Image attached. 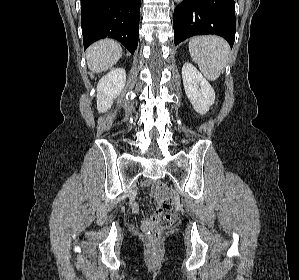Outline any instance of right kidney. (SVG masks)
<instances>
[{
    "instance_id": "ca27d5eb",
    "label": "right kidney",
    "mask_w": 299,
    "mask_h": 280,
    "mask_svg": "<svg viewBox=\"0 0 299 280\" xmlns=\"http://www.w3.org/2000/svg\"><path fill=\"white\" fill-rule=\"evenodd\" d=\"M126 82V72L123 68L111 70L103 76L97 85V109L107 111L113 100L120 95Z\"/></svg>"
}]
</instances>
